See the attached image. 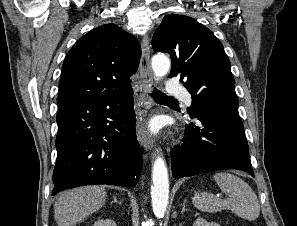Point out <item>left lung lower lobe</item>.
Instances as JSON below:
<instances>
[{"label": "left lung lower lobe", "mask_w": 297, "mask_h": 226, "mask_svg": "<svg viewBox=\"0 0 297 226\" xmlns=\"http://www.w3.org/2000/svg\"><path fill=\"white\" fill-rule=\"evenodd\" d=\"M195 117L200 126L190 122L182 146L171 150L173 176L180 178L220 169H238L254 176L238 111L213 108Z\"/></svg>", "instance_id": "1"}]
</instances>
